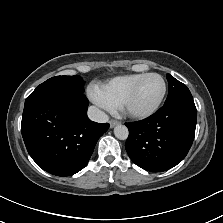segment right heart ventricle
Returning <instances> with one entry per match:
<instances>
[{
    "mask_svg": "<svg viewBox=\"0 0 223 223\" xmlns=\"http://www.w3.org/2000/svg\"><path fill=\"white\" fill-rule=\"evenodd\" d=\"M145 73H132L117 76L99 86V92L111 108L119 107L122 99Z\"/></svg>",
    "mask_w": 223,
    "mask_h": 223,
    "instance_id": "e07e8e85",
    "label": "right heart ventricle"
}]
</instances>
